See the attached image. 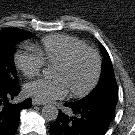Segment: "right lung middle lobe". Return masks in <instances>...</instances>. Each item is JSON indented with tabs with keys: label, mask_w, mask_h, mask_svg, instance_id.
Returning a JSON list of instances; mask_svg holds the SVG:
<instances>
[{
	"label": "right lung middle lobe",
	"mask_w": 135,
	"mask_h": 135,
	"mask_svg": "<svg viewBox=\"0 0 135 135\" xmlns=\"http://www.w3.org/2000/svg\"><path fill=\"white\" fill-rule=\"evenodd\" d=\"M34 37L33 34L12 28L0 32V91L19 85L13 53L18 42Z\"/></svg>",
	"instance_id": "obj_1"
}]
</instances>
